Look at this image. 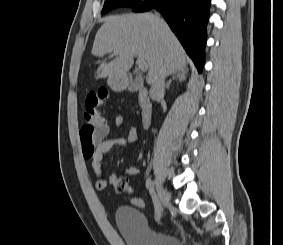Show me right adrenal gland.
<instances>
[{
	"instance_id": "2a0ac1e0",
	"label": "right adrenal gland",
	"mask_w": 283,
	"mask_h": 245,
	"mask_svg": "<svg viewBox=\"0 0 283 245\" xmlns=\"http://www.w3.org/2000/svg\"><path fill=\"white\" fill-rule=\"evenodd\" d=\"M188 71L186 69H182L173 74L172 78L167 82L165 88L169 89L170 84L173 80L185 81Z\"/></svg>"
}]
</instances>
